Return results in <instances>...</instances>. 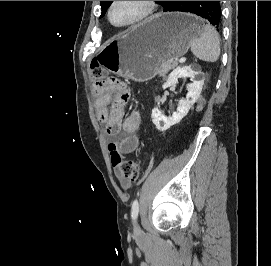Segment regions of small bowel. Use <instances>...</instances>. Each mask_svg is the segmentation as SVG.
I'll return each mask as SVG.
<instances>
[{
    "mask_svg": "<svg viewBox=\"0 0 271 266\" xmlns=\"http://www.w3.org/2000/svg\"><path fill=\"white\" fill-rule=\"evenodd\" d=\"M95 108L98 119L105 123V132L109 137L116 136L119 132L125 134V150L132 151L138 143V130L141 126V115L138 111H132L125 116V106L128 98L116 96L111 91H100L95 88ZM116 175L123 188H129L131 182L123 179L118 170Z\"/></svg>",
    "mask_w": 271,
    "mask_h": 266,
    "instance_id": "obj_1",
    "label": "small bowel"
}]
</instances>
